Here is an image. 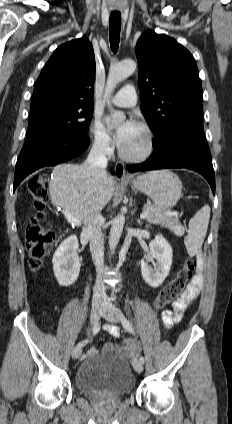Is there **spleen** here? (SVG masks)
Segmentation results:
<instances>
[{"instance_id": "spleen-1", "label": "spleen", "mask_w": 232, "mask_h": 424, "mask_svg": "<svg viewBox=\"0 0 232 424\" xmlns=\"http://www.w3.org/2000/svg\"><path fill=\"white\" fill-rule=\"evenodd\" d=\"M209 219L210 207L206 204L189 221V231L184 238L189 256H194L201 249L207 233Z\"/></svg>"}]
</instances>
